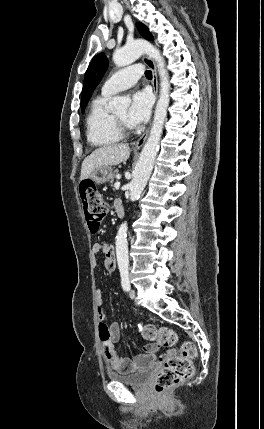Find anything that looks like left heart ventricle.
<instances>
[{"label": "left heart ventricle", "instance_id": "obj_1", "mask_svg": "<svg viewBox=\"0 0 264 429\" xmlns=\"http://www.w3.org/2000/svg\"><path fill=\"white\" fill-rule=\"evenodd\" d=\"M127 112H128L127 109H122V110L115 112V116L118 119H120L121 121L127 123Z\"/></svg>", "mask_w": 264, "mask_h": 429}]
</instances>
